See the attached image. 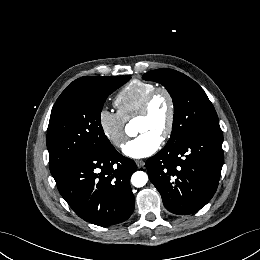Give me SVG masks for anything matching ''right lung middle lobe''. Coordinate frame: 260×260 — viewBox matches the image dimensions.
<instances>
[{
  "label": "right lung middle lobe",
  "instance_id": "obj_1",
  "mask_svg": "<svg viewBox=\"0 0 260 260\" xmlns=\"http://www.w3.org/2000/svg\"><path fill=\"white\" fill-rule=\"evenodd\" d=\"M130 78L99 77L85 89L59 96L47 130L51 173L75 156L104 154L113 149L104 134L100 113L106 98Z\"/></svg>",
  "mask_w": 260,
  "mask_h": 260
}]
</instances>
